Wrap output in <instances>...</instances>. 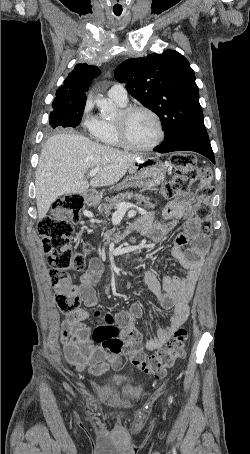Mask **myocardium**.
<instances>
[{
  "mask_svg": "<svg viewBox=\"0 0 250 454\" xmlns=\"http://www.w3.org/2000/svg\"><path fill=\"white\" fill-rule=\"evenodd\" d=\"M136 112H145L149 114L155 121L157 126L158 135L156 139L147 146H137L134 145L127 133V120L128 118ZM115 128L121 145L129 150L136 152H148L157 148L165 138V131L163 127L162 120L160 116L151 108L143 105H133L128 107H123L117 114L115 120Z\"/></svg>",
  "mask_w": 250,
  "mask_h": 454,
  "instance_id": "1",
  "label": "myocardium"
}]
</instances>
